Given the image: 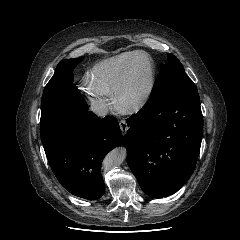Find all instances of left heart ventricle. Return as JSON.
I'll return each mask as SVG.
<instances>
[{
	"mask_svg": "<svg viewBox=\"0 0 240 240\" xmlns=\"http://www.w3.org/2000/svg\"><path fill=\"white\" fill-rule=\"evenodd\" d=\"M134 80L127 92V98H134L140 95L147 87V76L145 73L139 74L137 77L134 75Z\"/></svg>",
	"mask_w": 240,
	"mask_h": 240,
	"instance_id": "left-heart-ventricle-1",
	"label": "left heart ventricle"
}]
</instances>
